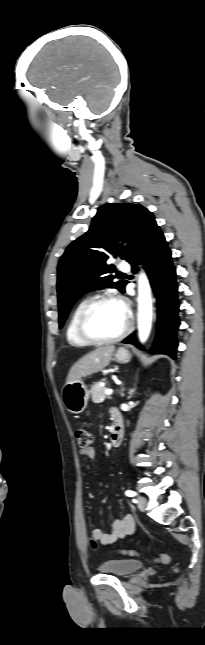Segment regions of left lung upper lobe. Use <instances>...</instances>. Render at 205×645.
Here are the masks:
<instances>
[{
  "label": "left lung upper lobe",
  "instance_id": "obj_1",
  "mask_svg": "<svg viewBox=\"0 0 205 645\" xmlns=\"http://www.w3.org/2000/svg\"><path fill=\"white\" fill-rule=\"evenodd\" d=\"M155 222L153 213L142 205L107 203L98 209L89 230L67 247L58 264L59 328L86 292L105 287L125 290L127 281L112 282L116 269L107 260L119 256L130 262Z\"/></svg>",
  "mask_w": 205,
  "mask_h": 645
}]
</instances>
